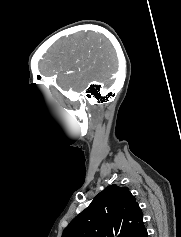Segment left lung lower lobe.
Instances as JSON below:
<instances>
[{
  "label": "left lung lower lobe",
  "mask_w": 181,
  "mask_h": 237,
  "mask_svg": "<svg viewBox=\"0 0 181 237\" xmlns=\"http://www.w3.org/2000/svg\"><path fill=\"white\" fill-rule=\"evenodd\" d=\"M138 237H148L147 230L145 229L141 234L138 235Z\"/></svg>",
  "instance_id": "obj_1"
}]
</instances>
